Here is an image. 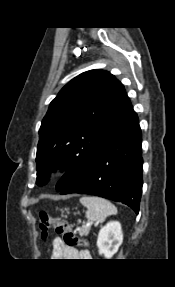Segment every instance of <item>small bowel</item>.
Returning a JSON list of instances; mask_svg holds the SVG:
<instances>
[{
    "label": "small bowel",
    "mask_w": 175,
    "mask_h": 287,
    "mask_svg": "<svg viewBox=\"0 0 175 287\" xmlns=\"http://www.w3.org/2000/svg\"><path fill=\"white\" fill-rule=\"evenodd\" d=\"M52 257L55 259H90L91 254L88 250L78 251L73 247L65 245L61 238L57 237L52 242Z\"/></svg>",
    "instance_id": "obj_1"
}]
</instances>
